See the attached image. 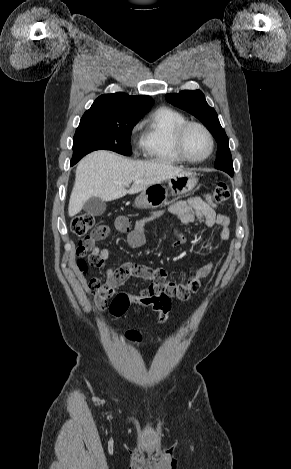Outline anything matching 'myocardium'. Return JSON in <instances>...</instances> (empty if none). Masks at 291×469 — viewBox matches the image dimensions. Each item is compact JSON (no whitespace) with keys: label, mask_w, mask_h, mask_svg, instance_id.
<instances>
[{"label":"myocardium","mask_w":291,"mask_h":469,"mask_svg":"<svg viewBox=\"0 0 291 469\" xmlns=\"http://www.w3.org/2000/svg\"><path fill=\"white\" fill-rule=\"evenodd\" d=\"M191 127L200 128L206 134L210 143L208 153L201 158H192L188 155L185 149V136ZM174 145L178 156L183 161L198 164L206 161L213 154L215 148V141L211 131L204 124L196 121H186L177 127L174 134Z\"/></svg>","instance_id":"myocardium-1"}]
</instances>
